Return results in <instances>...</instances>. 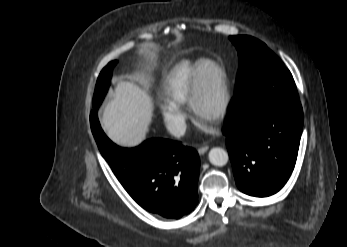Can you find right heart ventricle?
I'll return each mask as SVG.
<instances>
[{
	"mask_svg": "<svg viewBox=\"0 0 347 247\" xmlns=\"http://www.w3.org/2000/svg\"><path fill=\"white\" fill-rule=\"evenodd\" d=\"M207 61L182 62L175 66L165 82L164 96L166 101L178 105L188 103L194 77L200 68L206 67Z\"/></svg>",
	"mask_w": 347,
	"mask_h": 247,
	"instance_id": "1",
	"label": "right heart ventricle"
}]
</instances>
